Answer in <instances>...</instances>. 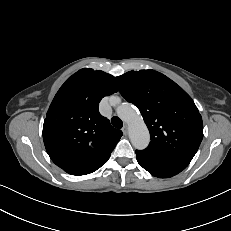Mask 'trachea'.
<instances>
[{
	"instance_id": "1",
	"label": "trachea",
	"mask_w": 231,
	"mask_h": 231,
	"mask_svg": "<svg viewBox=\"0 0 231 231\" xmlns=\"http://www.w3.org/2000/svg\"><path fill=\"white\" fill-rule=\"evenodd\" d=\"M111 123L115 128L121 129L123 127V122L119 117L114 116L111 119Z\"/></svg>"
}]
</instances>
